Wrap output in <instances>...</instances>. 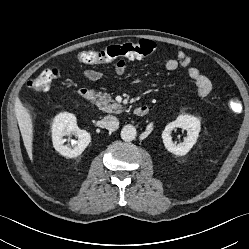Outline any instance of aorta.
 I'll use <instances>...</instances> for the list:
<instances>
[{"label": "aorta", "instance_id": "obj_1", "mask_svg": "<svg viewBox=\"0 0 249 249\" xmlns=\"http://www.w3.org/2000/svg\"><path fill=\"white\" fill-rule=\"evenodd\" d=\"M136 128L133 125H125L121 130V138L126 142H130L136 137Z\"/></svg>", "mask_w": 249, "mask_h": 249}]
</instances>
